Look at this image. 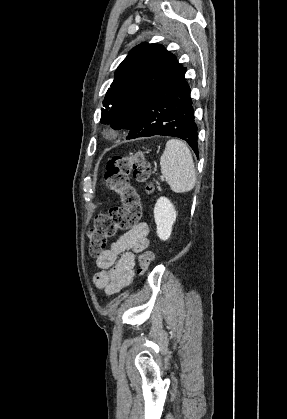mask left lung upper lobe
I'll return each mask as SVG.
<instances>
[{
  "instance_id": "5c2ea615",
  "label": "left lung upper lobe",
  "mask_w": 287,
  "mask_h": 419,
  "mask_svg": "<svg viewBox=\"0 0 287 419\" xmlns=\"http://www.w3.org/2000/svg\"><path fill=\"white\" fill-rule=\"evenodd\" d=\"M184 70L162 45L134 47L115 72L103 101L101 123L130 130L144 103L172 85Z\"/></svg>"
}]
</instances>
